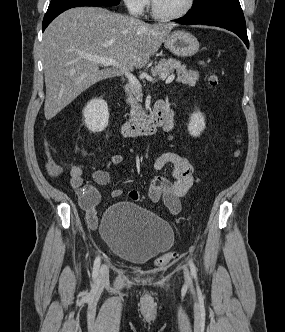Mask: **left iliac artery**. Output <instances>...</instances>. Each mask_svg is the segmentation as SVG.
I'll list each match as a JSON object with an SVG mask.
<instances>
[{
  "label": "left iliac artery",
  "mask_w": 285,
  "mask_h": 332,
  "mask_svg": "<svg viewBox=\"0 0 285 332\" xmlns=\"http://www.w3.org/2000/svg\"><path fill=\"white\" fill-rule=\"evenodd\" d=\"M189 265H190L192 275L196 279L197 278V268H196L195 264L193 263L192 259L189 260Z\"/></svg>",
  "instance_id": "left-iliac-artery-1"
}]
</instances>
